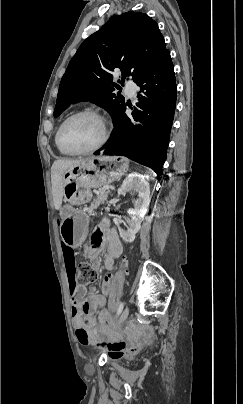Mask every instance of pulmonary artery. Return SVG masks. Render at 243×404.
<instances>
[{
  "instance_id": "e3ab8cb5",
  "label": "pulmonary artery",
  "mask_w": 243,
  "mask_h": 404,
  "mask_svg": "<svg viewBox=\"0 0 243 404\" xmlns=\"http://www.w3.org/2000/svg\"><path fill=\"white\" fill-rule=\"evenodd\" d=\"M137 90H138V85L136 83H126L125 84V93L130 98H134Z\"/></svg>"
}]
</instances>
